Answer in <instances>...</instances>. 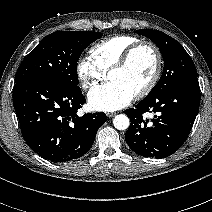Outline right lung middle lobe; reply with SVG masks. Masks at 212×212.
<instances>
[{"label":"right lung middle lobe","instance_id":"1","mask_svg":"<svg viewBox=\"0 0 212 212\" xmlns=\"http://www.w3.org/2000/svg\"><path fill=\"white\" fill-rule=\"evenodd\" d=\"M101 36L102 33L91 31H58L47 35L23 60L15 83L44 78L80 90L77 61L83 50Z\"/></svg>","mask_w":212,"mask_h":212}]
</instances>
